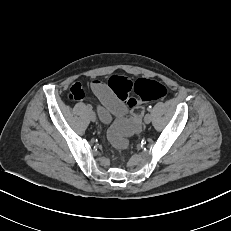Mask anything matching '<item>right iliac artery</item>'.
I'll return each mask as SVG.
<instances>
[{"instance_id":"1","label":"right iliac artery","mask_w":231,"mask_h":231,"mask_svg":"<svg viewBox=\"0 0 231 231\" xmlns=\"http://www.w3.org/2000/svg\"><path fill=\"white\" fill-rule=\"evenodd\" d=\"M87 109H88L89 111H91V110H92V106H91V105H87Z\"/></svg>"}]
</instances>
